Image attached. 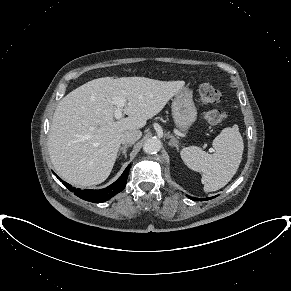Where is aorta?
<instances>
[{"instance_id": "aorta-1", "label": "aorta", "mask_w": 291, "mask_h": 291, "mask_svg": "<svg viewBox=\"0 0 291 291\" xmlns=\"http://www.w3.org/2000/svg\"><path fill=\"white\" fill-rule=\"evenodd\" d=\"M161 149V142L157 138H151L144 142L143 150L147 154H155Z\"/></svg>"}]
</instances>
